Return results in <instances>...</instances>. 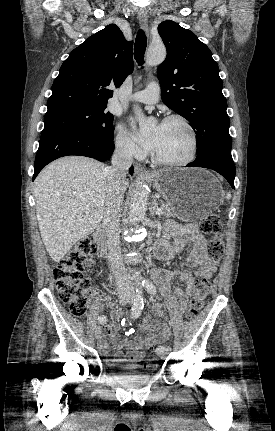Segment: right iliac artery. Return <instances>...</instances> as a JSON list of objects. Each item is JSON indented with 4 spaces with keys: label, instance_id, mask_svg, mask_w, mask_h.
<instances>
[{
    "label": "right iliac artery",
    "instance_id": "82829eb1",
    "mask_svg": "<svg viewBox=\"0 0 275 431\" xmlns=\"http://www.w3.org/2000/svg\"><path fill=\"white\" fill-rule=\"evenodd\" d=\"M136 292L137 296L134 299V303L131 309V317L133 319H136L140 316L144 305L141 288H138ZM98 321L100 324H104L107 321V318L106 316L102 315L98 317Z\"/></svg>",
    "mask_w": 275,
    "mask_h": 431
}]
</instances>
